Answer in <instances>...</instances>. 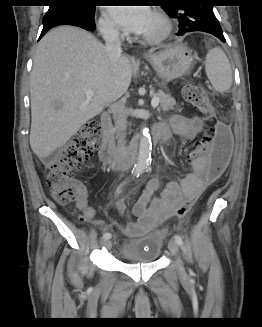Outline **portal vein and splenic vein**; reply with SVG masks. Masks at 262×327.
I'll return each instance as SVG.
<instances>
[{
    "instance_id": "18ae733b",
    "label": "portal vein and splenic vein",
    "mask_w": 262,
    "mask_h": 327,
    "mask_svg": "<svg viewBox=\"0 0 262 327\" xmlns=\"http://www.w3.org/2000/svg\"><path fill=\"white\" fill-rule=\"evenodd\" d=\"M85 93H86V95H87L88 97H92V96L94 95V90H93V89H87V90L85 91ZM151 105H152L153 108H156V107L159 105V98L156 97V96H154V97L152 98V100H151Z\"/></svg>"
}]
</instances>
